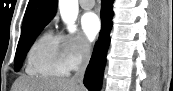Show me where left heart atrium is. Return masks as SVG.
I'll list each match as a JSON object with an SVG mask.
<instances>
[{
  "instance_id": "1",
  "label": "left heart atrium",
  "mask_w": 173,
  "mask_h": 91,
  "mask_svg": "<svg viewBox=\"0 0 173 91\" xmlns=\"http://www.w3.org/2000/svg\"><path fill=\"white\" fill-rule=\"evenodd\" d=\"M81 26L85 37L93 41L100 31V20L94 12L85 13L81 19Z\"/></svg>"
}]
</instances>
